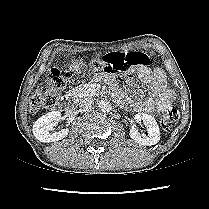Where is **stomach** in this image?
<instances>
[{
	"instance_id": "1",
	"label": "stomach",
	"mask_w": 209,
	"mask_h": 209,
	"mask_svg": "<svg viewBox=\"0 0 209 209\" xmlns=\"http://www.w3.org/2000/svg\"><path fill=\"white\" fill-rule=\"evenodd\" d=\"M69 71L72 76L76 78H81L86 75L88 71V66L85 61L81 59H76L71 62L69 66Z\"/></svg>"
}]
</instances>
